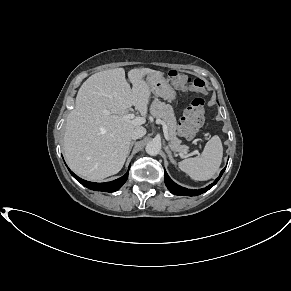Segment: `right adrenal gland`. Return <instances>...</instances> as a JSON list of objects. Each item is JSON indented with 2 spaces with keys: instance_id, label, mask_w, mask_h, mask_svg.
Returning <instances> with one entry per match:
<instances>
[{
  "instance_id": "right-adrenal-gland-1",
  "label": "right adrenal gland",
  "mask_w": 291,
  "mask_h": 291,
  "mask_svg": "<svg viewBox=\"0 0 291 291\" xmlns=\"http://www.w3.org/2000/svg\"><path fill=\"white\" fill-rule=\"evenodd\" d=\"M134 143H135V140H134V141H131L130 146H129L128 155L130 154V151H131V149H132Z\"/></svg>"
}]
</instances>
